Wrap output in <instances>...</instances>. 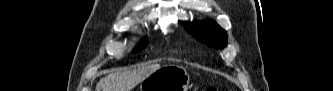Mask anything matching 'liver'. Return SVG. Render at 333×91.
Masks as SVG:
<instances>
[{
	"label": "liver",
	"instance_id": "liver-1",
	"mask_svg": "<svg viewBox=\"0 0 333 91\" xmlns=\"http://www.w3.org/2000/svg\"><path fill=\"white\" fill-rule=\"evenodd\" d=\"M160 67V64H150L134 69L116 71L102 78L97 83L96 91H131Z\"/></svg>",
	"mask_w": 333,
	"mask_h": 91
}]
</instances>
